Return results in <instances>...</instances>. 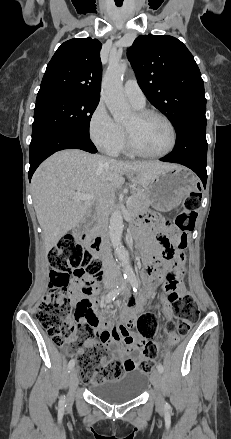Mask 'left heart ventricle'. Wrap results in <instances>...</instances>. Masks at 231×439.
I'll list each match as a JSON object with an SVG mask.
<instances>
[{
  "mask_svg": "<svg viewBox=\"0 0 231 439\" xmlns=\"http://www.w3.org/2000/svg\"><path fill=\"white\" fill-rule=\"evenodd\" d=\"M136 146L146 153H160L171 143V132L167 124L160 118L149 116L143 119L136 113L125 123Z\"/></svg>",
  "mask_w": 231,
  "mask_h": 439,
  "instance_id": "left-heart-ventricle-1",
  "label": "left heart ventricle"
}]
</instances>
